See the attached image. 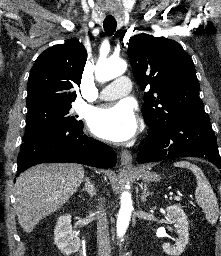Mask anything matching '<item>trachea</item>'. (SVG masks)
I'll list each match as a JSON object with an SVG mask.
<instances>
[{"label": "trachea", "instance_id": "3493384b", "mask_svg": "<svg viewBox=\"0 0 221 256\" xmlns=\"http://www.w3.org/2000/svg\"><path fill=\"white\" fill-rule=\"evenodd\" d=\"M116 26H117L116 21H104L103 23L104 30L108 35H111L114 33V31L116 30Z\"/></svg>", "mask_w": 221, "mask_h": 256}]
</instances>
